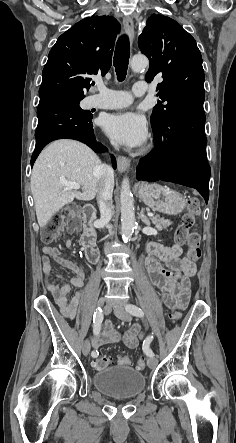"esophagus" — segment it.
Returning a JSON list of instances; mask_svg holds the SVG:
<instances>
[{
  "label": "esophagus",
  "mask_w": 236,
  "mask_h": 443,
  "mask_svg": "<svg viewBox=\"0 0 236 443\" xmlns=\"http://www.w3.org/2000/svg\"><path fill=\"white\" fill-rule=\"evenodd\" d=\"M123 26L125 31L127 32L130 40L132 41L134 38V22L130 17H124L123 18ZM130 167V160L125 156H118L117 157V168L120 172H124L128 170Z\"/></svg>",
  "instance_id": "1"
}]
</instances>
